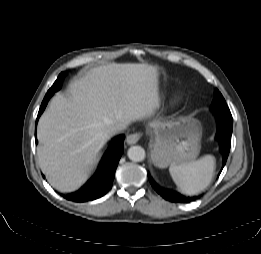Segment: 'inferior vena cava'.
Instances as JSON below:
<instances>
[{
    "label": "inferior vena cava",
    "instance_id": "602c4592",
    "mask_svg": "<svg viewBox=\"0 0 261 254\" xmlns=\"http://www.w3.org/2000/svg\"><path fill=\"white\" fill-rule=\"evenodd\" d=\"M124 128H125L124 125H121V124L113 125L109 129L108 135L111 137V136L115 135L116 133L122 131Z\"/></svg>",
    "mask_w": 261,
    "mask_h": 254
}]
</instances>
